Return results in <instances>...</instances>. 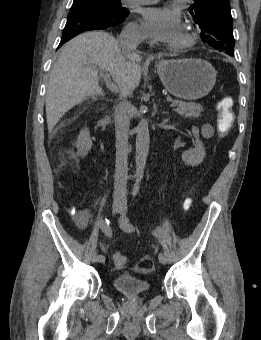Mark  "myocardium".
I'll return each instance as SVG.
<instances>
[{
  "label": "myocardium",
  "instance_id": "f54148a6",
  "mask_svg": "<svg viewBox=\"0 0 261 340\" xmlns=\"http://www.w3.org/2000/svg\"><path fill=\"white\" fill-rule=\"evenodd\" d=\"M181 39L176 41V42H173L170 46L171 49L173 50H183V49H186V48H189L191 47L193 44H194V37L193 35L188 32L187 30H183L181 32Z\"/></svg>",
  "mask_w": 261,
  "mask_h": 340
}]
</instances>
